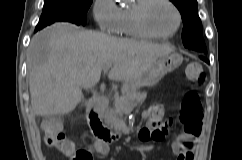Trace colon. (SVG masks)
Listing matches in <instances>:
<instances>
[{"mask_svg": "<svg viewBox=\"0 0 242 160\" xmlns=\"http://www.w3.org/2000/svg\"><path fill=\"white\" fill-rule=\"evenodd\" d=\"M187 78L194 83H201L205 79V74L201 63L190 62L186 68ZM180 122L184 126L186 134L197 135L201 129L202 106L195 91H188L181 103V113L179 116ZM42 130L44 131L45 144L53 149H56L65 157H71V160H92L90 153L86 151H77L74 155H70L66 148L69 147V142L63 134V123L57 118H47L42 122ZM145 135L153 140H161L163 131L149 130L144 131ZM99 152H106V146L102 143L97 144Z\"/></svg>", "mask_w": 242, "mask_h": 160, "instance_id": "1", "label": "colon"}]
</instances>
